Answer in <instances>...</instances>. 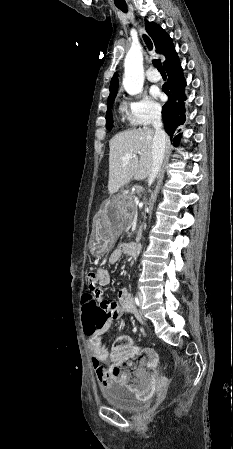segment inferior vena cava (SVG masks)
<instances>
[{"instance_id": "602c4592", "label": "inferior vena cava", "mask_w": 233, "mask_h": 449, "mask_svg": "<svg viewBox=\"0 0 233 449\" xmlns=\"http://www.w3.org/2000/svg\"><path fill=\"white\" fill-rule=\"evenodd\" d=\"M153 127L155 129L152 144L153 166L149 174L148 179L149 186H151V184L154 182L160 170L165 153L166 137L164 131L162 130V121L160 112L157 113L153 119Z\"/></svg>"}]
</instances>
